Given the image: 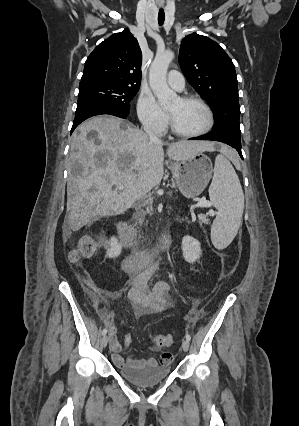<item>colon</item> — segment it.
Returning a JSON list of instances; mask_svg holds the SVG:
<instances>
[{
    "mask_svg": "<svg viewBox=\"0 0 299 426\" xmlns=\"http://www.w3.org/2000/svg\"><path fill=\"white\" fill-rule=\"evenodd\" d=\"M100 244L101 241L94 238H82L76 248L70 253V258L72 260H77L82 256H90L96 251ZM151 339L158 348L169 347L173 344V338L171 335L155 334L151 336Z\"/></svg>",
    "mask_w": 299,
    "mask_h": 426,
    "instance_id": "1",
    "label": "colon"
}]
</instances>
